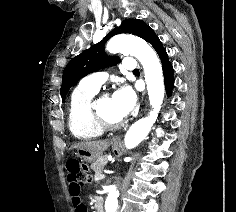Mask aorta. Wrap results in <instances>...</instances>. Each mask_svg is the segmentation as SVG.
<instances>
[{"instance_id": "aorta-1", "label": "aorta", "mask_w": 236, "mask_h": 212, "mask_svg": "<svg viewBox=\"0 0 236 212\" xmlns=\"http://www.w3.org/2000/svg\"><path fill=\"white\" fill-rule=\"evenodd\" d=\"M110 53L135 56L143 66L150 105L153 110L148 116L136 121L127 131L124 143L127 149L136 147L149 134L155 123L164 99L163 71L155 51L141 38L128 34H118L107 44ZM119 192L115 185L107 188L105 212L118 211Z\"/></svg>"}]
</instances>
